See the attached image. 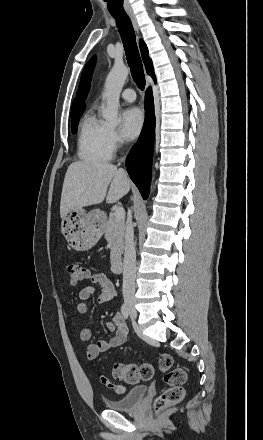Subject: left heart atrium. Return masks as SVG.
Returning <instances> with one entry per match:
<instances>
[{
	"label": "left heart atrium",
	"instance_id": "left-heart-atrium-1",
	"mask_svg": "<svg viewBox=\"0 0 263 440\" xmlns=\"http://www.w3.org/2000/svg\"><path fill=\"white\" fill-rule=\"evenodd\" d=\"M144 124V115L142 111L137 107H131L126 109L122 113L121 132L125 139H135Z\"/></svg>",
	"mask_w": 263,
	"mask_h": 440
}]
</instances>
